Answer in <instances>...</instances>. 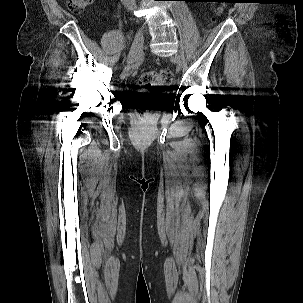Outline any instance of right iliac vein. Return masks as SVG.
<instances>
[{
    "label": "right iliac vein",
    "instance_id": "obj_1",
    "mask_svg": "<svg viewBox=\"0 0 303 303\" xmlns=\"http://www.w3.org/2000/svg\"><path fill=\"white\" fill-rule=\"evenodd\" d=\"M143 43H144V30L142 27H140L135 35L133 44L128 54L127 57L128 63H133L138 58V56L142 51Z\"/></svg>",
    "mask_w": 303,
    "mask_h": 303
}]
</instances>
